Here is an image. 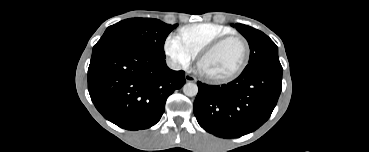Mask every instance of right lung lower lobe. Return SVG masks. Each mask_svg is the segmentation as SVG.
<instances>
[{"label": "right lung lower lobe", "mask_w": 369, "mask_h": 152, "mask_svg": "<svg viewBox=\"0 0 369 152\" xmlns=\"http://www.w3.org/2000/svg\"><path fill=\"white\" fill-rule=\"evenodd\" d=\"M184 83V71H173L165 59L128 46L92 55L88 68V90L97 110L132 131L155 125L167 98Z\"/></svg>", "instance_id": "right-lung-lower-lobe-1"}]
</instances>
